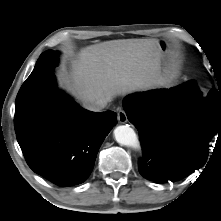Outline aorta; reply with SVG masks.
Segmentation results:
<instances>
[{
	"mask_svg": "<svg viewBox=\"0 0 221 221\" xmlns=\"http://www.w3.org/2000/svg\"><path fill=\"white\" fill-rule=\"evenodd\" d=\"M114 137L117 143L132 147L140 148V142L135 131L129 125H120L114 130Z\"/></svg>",
	"mask_w": 221,
	"mask_h": 221,
	"instance_id": "762f6f07",
	"label": "aorta"
}]
</instances>
